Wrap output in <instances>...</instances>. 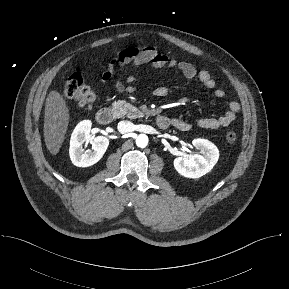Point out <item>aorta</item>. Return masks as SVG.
I'll return each mask as SVG.
<instances>
[{"label": "aorta", "instance_id": "obj_1", "mask_svg": "<svg viewBox=\"0 0 289 289\" xmlns=\"http://www.w3.org/2000/svg\"><path fill=\"white\" fill-rule=\"evenodd\" d=\"M148 144V137L145 134H140L136 138V145L138 147L144 148Z\"/></svg>", "mask_w": 289, "mask_h": 289}]
</instances>
